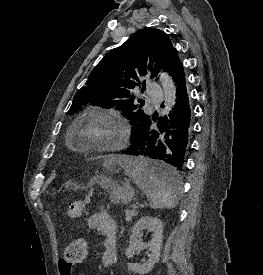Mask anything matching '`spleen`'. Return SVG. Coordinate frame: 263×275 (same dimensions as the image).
<instances>
[{
	"label": "spleen",
	"mask_w": 263,
	"mask_h": 275,
	"mask_svg": "<svg viewBox=\"0 0 263 275\" xmlns=\"http://www.w3.org/2000/svg\"><path fill=\"white\" fill-rule=\"evenodd\" d=\"M121 164L125 169V174L146 194L151 208H174L177 206L178 179L175 184H171L156 178L152 174L153 164L143 157H124Z\"/></svg>",
	"instance_id": "spleen-1"
}]
</instances>
